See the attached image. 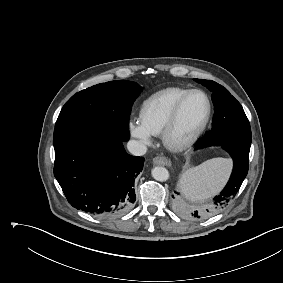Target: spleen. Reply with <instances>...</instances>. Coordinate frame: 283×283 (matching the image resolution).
Here are the masks:
<instances>
[{
    "instance_id": "spleen-1",
    "label": "spleen",
    "mask_w": 283,
    "mask_h": 283,
    "mask_svg": "<svg viewBox=\"0 0 283 283\" xmlns=\"http://www.w3.org/2000/svg\"><path fill=\"white\" fill-rule=\"evenodd\" d=\"M231 168L226 158H213L186 171L179 182L183 195L191 201H202L215 195L225 184Z\"/></svg>"
}]
</instances>
